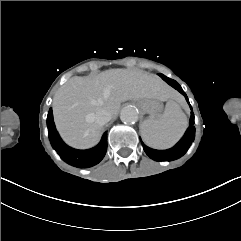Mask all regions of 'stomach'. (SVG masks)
Listing matches in <instances>:
<instances>
[{"mask_svg":"<svg viewBox=\"0 0 241 241\" xmlns=\"http://www.w3.org/2000/svg\"><path fill=\"white\" fill-rule=\"evenodd\" d=\"M138 105L141 110L150 115V118H157L162 110V104L157 99H140Z\"/></svg>","mask_w":241,"mask_h":241,"instance_id":"obj_1","label":"stomach"}]
</instances>
